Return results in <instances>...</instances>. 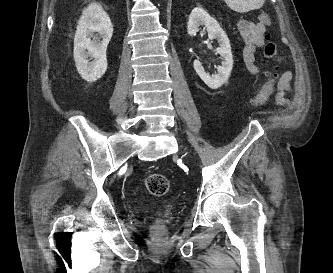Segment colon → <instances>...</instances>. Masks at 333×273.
Wrapping results in <instances>:
<instances>
[{
  "label": "colon",
  "mask_w": 333,
  "mask_h": 273,
  "mask_svg": "<svg viewBox=\"0 0 333 273\" xmlns=\"http://www.w3.org/2000/svg\"><path fill=\"white\" fill-rule=\"evenodd\" d=\"M259 20L268 26L272 23L271 17L267 13L260 14ZM263 56L267 60H272L276 56V45L269 35L266 36V41L263 47ZM277 78L278 75L275 71H272L267 75L266 80L261 84L252 99V104L254 106L260 107L267 103L274 92ZM145 184L148 192L154 196H163L169 190V180L163 174L154 173L149 175ZM155 227L159 231L163 229V225L160 222H158Z\"/></svg>",
  "instance_id": "1"
}]
</instances>
